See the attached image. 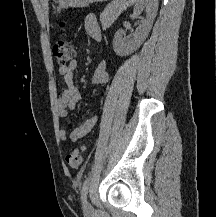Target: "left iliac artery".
I'll use <instances>...</instances> for the list:
<instances>
[{"instance_id":"left-iliac-artery-1","label":"left iliac artery","mask_w":216,"mask_h":217,"mask_svg":"<svg viewBox=\"0 0 216 217\" xmlns=\"http://www.w3.org/2000/svg\"><path fill=\"white\" fill-rule=\"evenodd\" d=\"M88 185H89V180L88 178H86V180L83 183L82 190H81V198L83 201H85L87 197Z\"/></svg>"}]
</instances>
